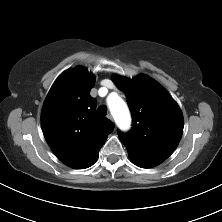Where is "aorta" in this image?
<instances>
[{
    "mask_svg": "<svg viewBox=\"0 0 222 222\" xmlns=\"http://www.w3.org/2000/svg\"><path fill=\"white\" fill-rule=\"evenodd\" d=\"M108 105L118 126L126 129L130 124V115L125 102L118 96H115L109 98Z\"/></svg>",
    "mask_w": 222,
    "mask_h": 222,
    "instance_id": "1",
    "label": "aorta"
}]
</instances>
